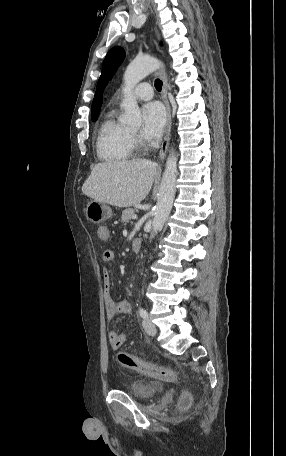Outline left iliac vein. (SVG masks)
Instances as JSON below:
<instances>
[{"label":"left iliac vein","instance_id":"obj_1","mask_svg":"<svg viewBox=\"0 0 286 456\" xmlns=\"http://www.w3.org/2000/svg\"><path fill=\"white\" fill-rule=\"evenodd\" d=\"M142 326L147 334H149L151 336L156 335V333H157L156 326L152 322H150V320L144 319L142 322Z\"/></svg>","mask_w":286,"mask_h":456}]
</instances>
